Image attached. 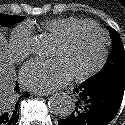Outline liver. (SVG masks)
Here are the masks:
<instances>
[{
    "label": "liver",
    "instance_id": "6515ba94",
    "mask_svg": "<svg viewBox=\"0 0 125 125\" xmlns=\"http://www.w3.org/2000/svg\"><path fill=\"white\" fill-rule=\"evenodd\" d=\"M15 69L7 41L0 32V111L3 105L13 99Z\"/></svg>",
    "mask_w": 125,
    "mask_h": 125
}]
</instances>
